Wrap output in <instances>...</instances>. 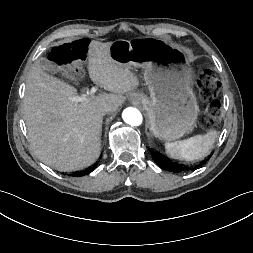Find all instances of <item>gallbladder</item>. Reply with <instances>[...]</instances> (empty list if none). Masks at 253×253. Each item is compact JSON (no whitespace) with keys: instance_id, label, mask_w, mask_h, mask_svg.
Masks as SVG:
<instances>
[{"instance_id":"obj_1","label":"gallbladder","mask_w":253,"mask_h":253,"mask_svg":"<svg viewBox=\"0 0 253 253\" xmlns=\"http://www.w3.org/2000/svg\"><path fill=\"white\" fill-rule=\"evenodd\" d=\"M40 63H41L43 68L50 69V63L46 59L41 58Z\"/></svg>"}]
</instances>
